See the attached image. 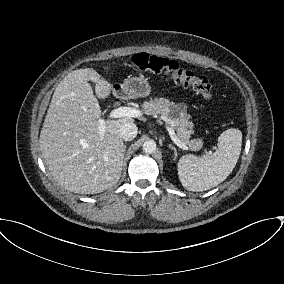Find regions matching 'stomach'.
Returning <instances> with one entry per match:
<instances>
[{
  "instance_id": "0dacf381",
  "label": "stomach",
  "mask_w": 284,
  "mask_h": 284,
  "mask_svg": "<svg viewBox=\"0 0 284 284\" xmlns=\"http://www.w3.org/2000/svg\"><path fill=\"white\" fill-rule=\"evenodd\" d=\"M116 88H120L128 98L146 97L151 93V86L146 79L131 77Z\"/></svg>"
}]
</instances>
